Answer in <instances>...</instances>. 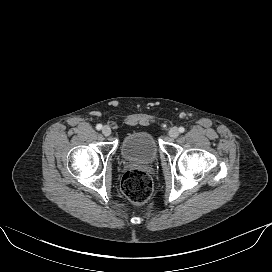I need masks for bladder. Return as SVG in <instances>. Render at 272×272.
<instances>
[{
    "instance_id": "obj_1",
    "label": "bladder",
    "mask_w": 272,
    "mask_h": 272,
    "mask_svg": "<svg viewBox=\"0 0 272 272\" xmlns=\"http://www.w3.org/2000/svg\"><path fill=\"white\" fill-rule=\"evenodd\" d=\"M120 154L128 161L151 163L158 157L159 146L151 132L135 131L122 140Z\"/></svg>"
}]
</instances>
